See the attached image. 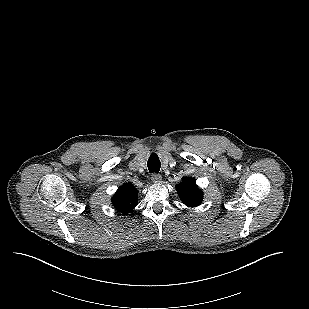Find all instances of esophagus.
Here are the masks:
<instances>
[{
    "label": "esophagus",
    "mask_w": 309,
    "mask_h": 309,
    "mask_svg": "<svg viewBox=\"0 0 309 309\" xmlns=\"http://www.w3.org/2000/svg\"><path fill=\"white\" fill-rule=\"evenodd\" d=\"M151 180L154 182V183H160L161 180H162V177L160 174H157V173H153L151 175Z\"/></svg>",
    "instance_id": "34e87169"
}]
</instances>
